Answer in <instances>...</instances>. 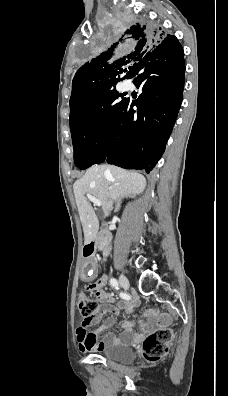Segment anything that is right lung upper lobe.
Wrapping results in <instances>:
<instances>
[{"label": "right lung upper lobe", "mask_w": 228, "mask_h": 396, "mask_svg": "<svg viewBox=\"0 0 228 396\" xmlns=\"http://www.w3.org/2000/svg\"><path fill=\"white\" fill-rule=\"evenodd\" d=\"M129 33L132 34V38L135 40V47L132 52L120 57L110 65L107 61L112 57L113 50L109 49L78 69L72 82L70 119L78 116L99 96L112 86H115L117 81H119L116 76L125 72L123 69L125 66L129 65V71L124 78H131L140 61L148 57L158 46L159 49L164 50L180 45L177 38L173 35H167L161 42L165 36L161 28L150 31L146 29L145 25H138L136 27L133 26ZM116 45L117 43L114 44V46Z\"/></svg>", "instance_id": "1"}]
</instances>
